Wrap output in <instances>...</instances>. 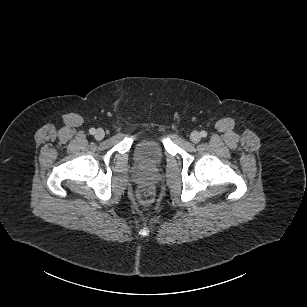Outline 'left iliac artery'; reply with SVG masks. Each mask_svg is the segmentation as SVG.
I'll use <instances>...</instances> for the list:
<instances>
[{
  "label": "left iliac artery",
  "instance_id": "left-iliac-artery-1",
  "mask_svg": "<svg viewBox=\"0 0 307 307\" xmlns=\"http://www.w3.org/2000/svg\"><path fill=\"white\" fill-rule=\"evenodd\" d=\"M200 134H201V137H204V138L207 136V132H206V131H204V130H203V131H201V133H200Z\"/></svg>",
  "mask_w": 307,
  "mask_h": 307
}]
</instances>
